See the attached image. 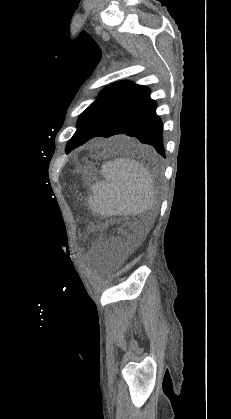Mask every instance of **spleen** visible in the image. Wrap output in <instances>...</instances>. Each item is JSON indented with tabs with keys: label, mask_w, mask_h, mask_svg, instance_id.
I'll return each instance as SVG.
<instances>
[{
	"label": "spleen",
	"mask_w": 231,
	"mask_h": 419,
	"mask_svg": "<svg viewBox=\"0 0 231 419\" xmlns=\"http://www.w3.org/2000/svg\"><path fill=\"white\" fill-rule=\"evenodd\" d=\"M104 181L92 186L89 207L101 215H138L153 208L156 191L145 166L128 158L103 164Z\"/></svg>",
	"instance_id": "3e777b00"
}]
</instances>
